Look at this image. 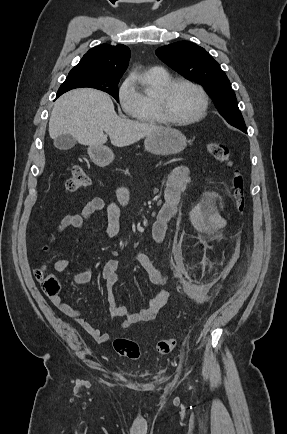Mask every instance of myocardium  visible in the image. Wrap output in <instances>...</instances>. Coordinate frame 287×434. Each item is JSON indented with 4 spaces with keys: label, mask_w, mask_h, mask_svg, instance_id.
<instances>
[{
    "label": "myocardium",
    "mask_w": 287,
    "mask_h": 434,
    "mask_svg": "<svg viewBox=\"0 0 287 434\" xmlns=\"http://www.w3.org/2000/svg\"><path fill=\"white\" fill-rule=\"evenodd\" d=\"M177 85H187L196 90L201 98V106L197 114L187 119H176L172 117L168 111L167 99L170 92ZM155 103L159 115L163 121L172 125H189L200 121L206 115L208 109V96L206 91L199 84L185 78H172L167 83L158 88L155 94Z\"/></svg>",
    "instance_id": "f54148a6"
}]
</instances>
